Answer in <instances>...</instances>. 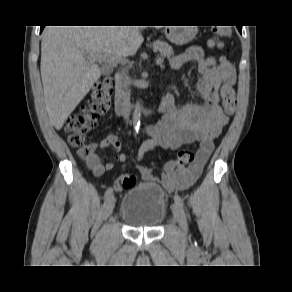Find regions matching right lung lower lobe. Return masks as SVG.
I'll use <instances>...</instances> for the list:
<instances>
[{"label":"right lung lower lobe","mask_w":292,"mask_h":292,"mask_svg":"<svg viewBox=\"0 0 292 292\" xmlns=\"http://www.w3.org/2000/svg\"><path fill=\"white\" fill-rule=\"evenodd\" d=\"M44 27L45 26H40V33L42 32V30H43Z\"/></svg>","instance_id":"98d812e1"}]
</instances>
